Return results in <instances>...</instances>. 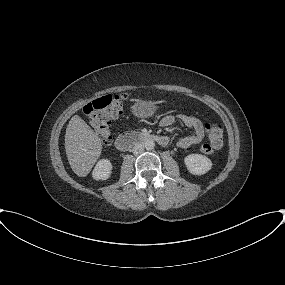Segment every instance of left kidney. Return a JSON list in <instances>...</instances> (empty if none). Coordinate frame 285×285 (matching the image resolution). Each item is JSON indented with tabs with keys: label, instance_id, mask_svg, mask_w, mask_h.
<instances>
[{
	"label": "left kidney",
	"instance_id": "5707ae66",
	"mask_svg": "<svg viewBox=\"0 0 285 285\" xmlns=\"http://www.w3.org/2000/svg\"><path fill=\"white\" fill-rule=\"evenodd\" d=\"M184 162L193 175H203L212 168L211 160L201 154H190L184 158Z\"/></svg>",
	"mask_w": 285,
	"mask_h": 285
}]
</instances>
